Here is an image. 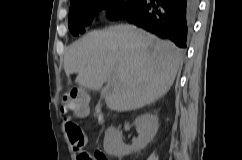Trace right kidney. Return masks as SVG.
I'll list each match as a JSON object with an SVG mask.
<instances>
[{
    "mask_svg": "<svg viewBox=\"0 0 242 160\" xmlns=\"http://www.w3.org/2000/svg\"><path fill=\"white\" fill-rule=\"evenodd\" d=\"M135 126L139 131V135L132 145L124 144L120 132L114 127H109L105 132L103 143L105 152L110 156L123 157L133 151L144 149L157 133L158 118L154 114H143L136 118Z\"/></svg>",
    "mask_w": 242,
    "mask_h": 160,
    "instance_id": "obj_1",
    "label": "right kidney"
}]
</instances>
